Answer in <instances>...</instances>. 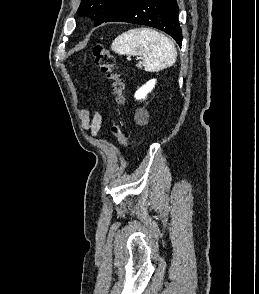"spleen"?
<instances>
[{
  "label": "spleen",
  "instance_id": "spleen-1",
  "mask_svg": "<svg viewBox=\"0 0 259 294\" xmlns=\"http://www.w3.org/2000/svg\"><path fill=\"white\" fill-rule=\"evenodd\" d=\"M111 49L120 55L142 57L137 67L145 71L157 72L171 67L177 59L174 43L165 35L149 29L136 28L119 35L112 43Z\"/></svg>",
  "mask_w": 259,
  "mask_h": 294
}]
</instances>
